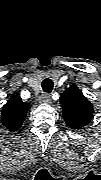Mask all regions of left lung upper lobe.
<instances>
[{
	"instance_id": "obj_1",
	"label": "left lung upper lobe",
	"mask_w": 101,
	"mask_h": 180,
	"mask_svg": "<svg viewBox=\"0 0 101 180\" xmlns=\"http://www.w3.org/2000/svg\"><path fill=\"white\" fill-rule=\"evenodd\" d=\"M63 109V117L66 124L72 129H80L86 126L93 117V106L85 98L82 91L71 85L60 97Z\"/></svg>"
}]
</instances>
